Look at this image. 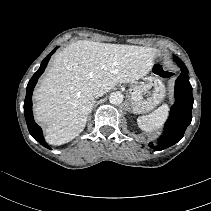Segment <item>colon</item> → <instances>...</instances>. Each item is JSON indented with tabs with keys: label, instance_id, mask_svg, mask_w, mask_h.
<instances>
[{
	"label": "colon",
	"instance_id": "5ec220e1",
	"mask_svg": "<svg viewBox=\"0 0 211 211\" xmlns=\"http://www.w3.org/2000/svg\"><path fill=\"white\" fill-rule=\"evenodd\" d=\"M157 70H158V73L163 77H169L170 76V72L167 71L166 69H164L162 66H158Z\"/></svg>",
	"mask_w": 211,
	"mask_h": 211
}]
</instances>
